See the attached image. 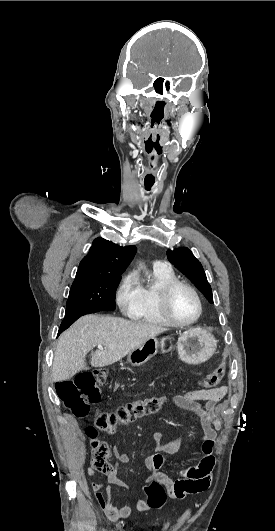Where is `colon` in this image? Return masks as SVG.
<instances>
[{"instance_id":"1","label":"colon","mask_w":275,"mask_h":531,"mask_svg":"<svg viewBox=\"0 0 275 531\" xmlns=\"http://www.w3.org/2000/svg\"><path fill=\"white\" fill-rule=\"evenodd\" d=\"M227 356H222L216 368L201 379L204 389H214L222 381L227 365ZM108 379V372L101 370H87L78 373L74 380H60L55 384V394L76 417L87 418L90 405L100 399V385L105 384ZM165 402L164 397L155 396L130 403L113 412L101 411L95 415V421H100L104 428V433H114L119 426L128 424L136 418L158 412ZM87 436L93 446L97 444V431H94L92 424L87 427ZM97 470H107L109 465L97 458L94 462ZM145 489L148 494V501L145 506L150 511H160L165 507V491L162 486L156 487L154 483L146 484Z\"/></svg>"}]
</instances>
